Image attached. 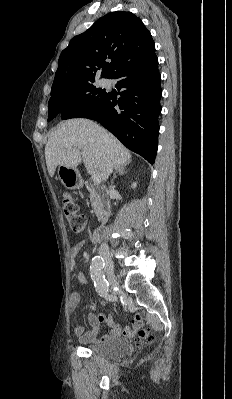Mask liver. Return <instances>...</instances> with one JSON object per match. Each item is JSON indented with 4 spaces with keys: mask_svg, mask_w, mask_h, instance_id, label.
Returning <instances> with one entry per match:
<instances>
[{
    "mask_svg": "<svg viewBox=\"0 0 232 399\" xmlns=\"http://www.w3.org/2000/svg\"><path fill=\"white\" fill-rule=\"evenodd\" d=\"M45 160L51 178L56 166L77 168L83 160L87 174H98L106 182L113 168L116 170L130 162L131 154L104 128L79 118L60 122L57 130L50 134L45 146Z\"/></svg>",
    "mask_w": 232,
    "mask_h": 399,
    "instance_id": "1",
    "label": "liver"
}]
</instances>
